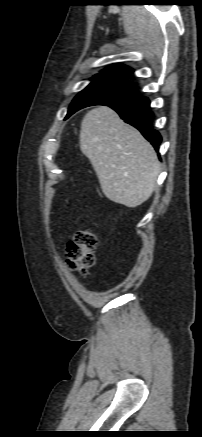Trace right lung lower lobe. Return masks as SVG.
<instances>
[{
    "mask_svg": "<svg viewBox=\"0 0 202 437\" xmlns=\"http://www.w3.org/2000/svg\"><path fill=\"white\" fill-rule=\"evenodd\" d=\"M105 105L114 109L126 123L139 129L142 135L153 145L155 150L158 151L161 136L158 131L152 128V112L148 98L137 97L131 100H122Z\"/></svg>",
    "mask_w": 202,
    "mask_h": 437,
    "instance_id": "98d812e1",
    "label": "right lung lower lobe"
}]
</instances>
